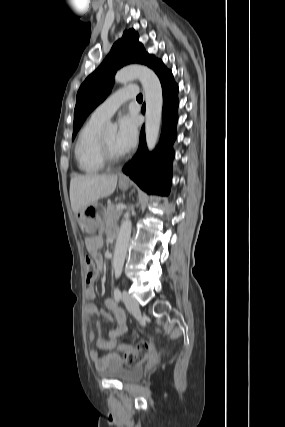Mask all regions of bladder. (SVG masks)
<instances>
[{"instance_id":"1","label":"bladder","mask_w":285,"mask_h":427,"mask_svg":"<svg viewBox=\"0 0 285 427\" xmlns=\"http://www.w3.org/2000/svg\"><path fill=\"white\" fill-rule=\"evenodd\" d=\"M100 375L106 379H115L129 383L140 379L143 375V369L139 365L127 368L121 365H116L103 370Z\"/></svg>"}]
</instances>
